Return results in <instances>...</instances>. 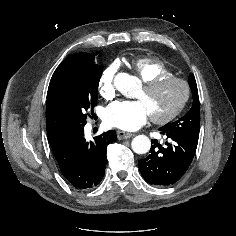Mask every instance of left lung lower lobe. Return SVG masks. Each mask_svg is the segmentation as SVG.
<instances>
[{"label":"left lung lower lobe","mask_w":236,"mask_h":236,"mask_svg":"<svg viewBox=\"0 0 236 236\" xmlns=\"http://www.w3.org/2000/svg\"><path fill=\"white\" fill-rule=\"evenodd\" d=\"M169 138L166 147L152 140L150 155L139 160L143 178L151 185L167 186L176 183L189 168L196 152L198 139L159 128Z\"/></svg>","instance_id":"obj_1"}]
</instances>
